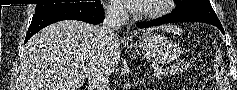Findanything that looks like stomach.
I'll use <instances>...</instances> for the list:
<instances>
[{
    "label": "stomach",
    "instance_id": "stomach-1",
    "mask_svg": "<svg viewBox=\"0 0 237 90\" xmlns=\"http://www.w3.org/2000/svg\"><path fill=\"white\" fill-rule=\"evenodd\" d=\"M138 43L142 54L152 62L170 63L181 54L179 45L157 33H150L141 37Z\"/></svg>",
    "mask_w": 237,
    "mask_h": 90
}]
</instances>
